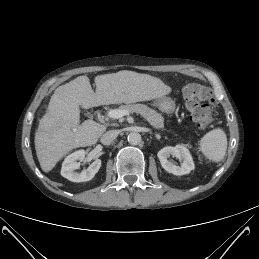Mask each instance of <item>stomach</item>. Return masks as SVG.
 I'll use <instances>...</instances> for the list:
<instances>
[{
    "instance_id": "stomach-1",
    "label": "stomach",
    "mask_w": 259,
    "mask_h": 259,
    "mask_svg": "<svg viewBox=\"0 0 259 259\" xmlns=\"http://www.w3.org/2000/svg\"><path fill=\"white\" fill-rule=\"evenodd\" d=\"M158 108L165 113H172L175 111L176 104L175 101L170 97H159L156 102Z\"/></svg>"
}]
</instances>
